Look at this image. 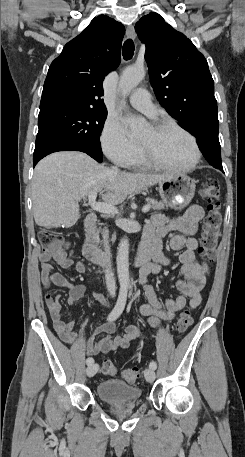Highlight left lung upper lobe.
Masks as SVG:
<instances>
[{"label":"left lung upper lobe","mask_w":245,"mask_h":457,"mask_svg":"<svg viewBox=\"0 0 245 457\" xmlns=\"http://www.w3.org/2000/svg\"><path fill=\"white\" fill-rule=\"evenodd\" d=\"M135 30L146 46L151 86L166 111L190 133L219 124L214 81L194 44L157 13L143 16Z\"/></svg>","instance_id":"obj_1"}]
</instances>
